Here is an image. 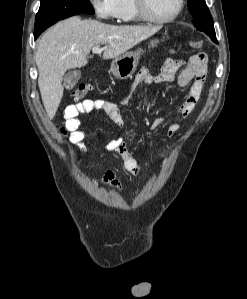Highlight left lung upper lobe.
I'll use <instances>...</instances> for the list:
<instances>
[{
	"mask_svg": "<svg viewBox=\"0 0 247 299\" xmlns=\"http://www.w3.org/2000/svg\"><path fill=\"white\" fill-rule=\"evenodd\" d=\"M188 7L195 27L205 32L212 40H217L213 19L205 0H188Z\"/></svg>",
	"mask_w": 247,
	"mask_h": 299,
	"instance_id": "left-lung-upper-lobe-1",
	"label": "left lung upper lobe"
}]
</instances>
